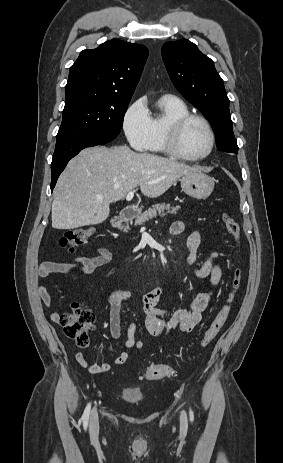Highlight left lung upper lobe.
<instances>
[{"label":"left lung upper lobe","instance_id":"left-lung-upper-lobe-1","mask_svg":"<svg viewBox=\"0 0 283 463\" xmlns=\"http://www.w3.org/2000/svg\"><path fill=\"white\" fill-rule=\"evenodd\" d=\"M162 57L176 89L209 120L219 151L238 153L222 78L213 61L186 40L167 42Z\"/></svg>","mask_w":283,"mask_h":463}]
</instances>
